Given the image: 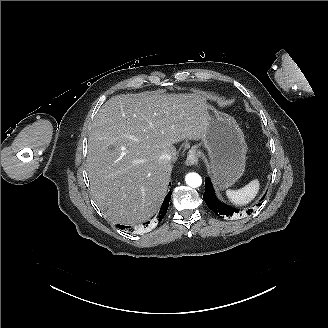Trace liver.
<instances>
[{"label": "liver", "instance_id": "obj_1", "mask_svg": "<svg viewBox=\"0 0 328 328\" xmlns=\"http://www.w3.org/2000/svg\"><path fill=\"white\" fill-rule=\"evenodd\" d=\"M202 95L159 92L117 95L98 111L90 130L86 170L104 215L124 225L142 223L161 205L174 144L199 141L206 129ZM170 159H163V154Z\"/></svg>", "mask_w": 328, "mask_h": 328}]
</instances>
